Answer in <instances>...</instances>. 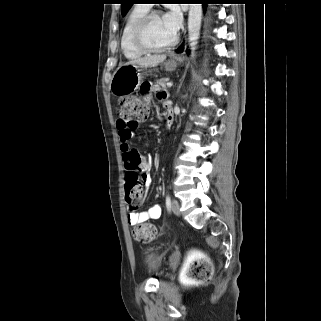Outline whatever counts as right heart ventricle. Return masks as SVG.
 I'll use <instances>...</instances> for the list:
<instances>
[{
  "label": "right heart ventricle",
  "mask_w": 321,
  "mask_h": 321,
  "mask_svg": "<svg viewBox=\"0 0 321 321\" xmlns=\"http://www.w3.org/2000/svg\"><path fill=\"white\" fill-rule=\"evenodd\" d=\"M149 8L144 5L135 6L125 19L121 36L120 47L121 51L126 59L133 60L140 58L144 52L138 50L132 42V32L137 21L147 13Z\"/></svg>",
  "instance_id": "e07e8e85"
}]
</instances>
